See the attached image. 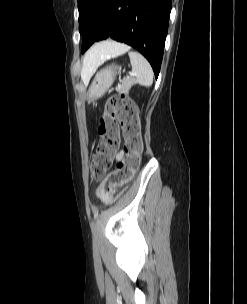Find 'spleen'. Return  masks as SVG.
Masks as SVG:
<instances>
[{"label": "spleen", "mask_w": 247, "mask_h": 304, "mask_svg": "<svg viewBox=\"0 0 247 304\" xmlns=\"http://www.w3.org/2000/svg\"><path fill=\"white\" fill-rule=\"evenodd\" d=\"M128 50L121 52L119 55ZM129 58L132 66V72L136 76V82L142 86L149 87L153 82V70L146 58L138 52L130 51Z\"/></svg>", "instance_id": "spleen-1"}]
</instances>
